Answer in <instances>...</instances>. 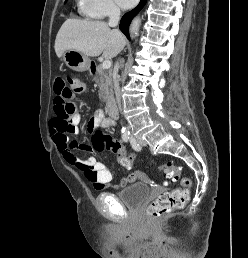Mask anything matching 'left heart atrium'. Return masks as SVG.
Returning a JSON list of instances; mask_svg holds the SVG:
<instances>
[{
    "mask_svg": "<svg viewBox=\"0 0 248 258\" xmlns=\"http://www.w3.org/2000/svg\"><path fill=\"white\" fill-rule=\"evenodd\" d=\"M116 1L122 8L127 9L134 6L138 0H116Z\"/></svg>",
    "mask_w": 248,
    "mask_h": 258,
    "instance_id": "1",
    "label": "left heart atrium"
}]
</instances>
